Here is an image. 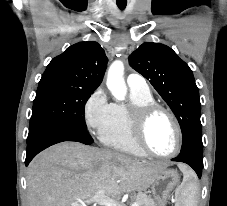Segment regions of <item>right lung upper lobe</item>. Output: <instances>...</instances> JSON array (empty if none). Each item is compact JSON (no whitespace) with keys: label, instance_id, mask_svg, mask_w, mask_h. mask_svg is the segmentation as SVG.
<instances>
[{"label":"right lung upper lobe","instance_id":"right-lung-upper-lobe-1","mask_svg":"<svg viewBox=\"0 0 227 206\" xmlns=\"http://www.w3.org/2000/svg\"><path fill=\"white\" fill-rule=\"evenodd\" d=\"M108 58L97 42H79L48 64L39 85H58L94 91L100 85Z\"/></svg>","mask_w":227,"mask_h":206}]
</instances>
